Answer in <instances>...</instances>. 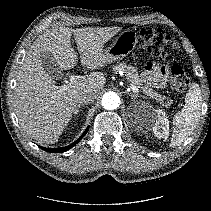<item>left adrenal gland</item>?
Returning a JSON list of instances; mask_svg holds the SVG:
<instances>
[{
  "mask_svg": "<svg viewBox=\"0 0 211 211\" xmlns=\"http://www.w3.org/2000/svg\"><path fill=\"white\" fill-rule=\"evenodd\" d=\"M128 94L132 99H136L138 97L137 94H132V93H128Z\"/></svg>",
  "mask_w": 211,
  "mask_h": 211,
  "instance_id": "left-adrenal-gland-1",
  "label": "left adrenal gland"
}]
</instances>
